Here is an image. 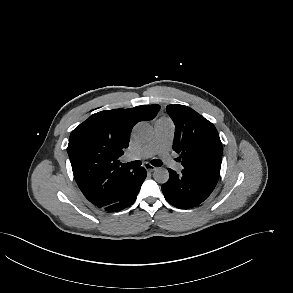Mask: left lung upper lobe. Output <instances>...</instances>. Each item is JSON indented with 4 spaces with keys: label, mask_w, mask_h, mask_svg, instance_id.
I'll use <instances>...</instances> for the list:
<instances>
[{
    "label": "left lung upper lobe",
    "mask_w": 293,
    "mask_h": 293,
    "mask_svg": "<svg viewBox=\"0 0 293 293\" xmlns=\"http://www.w3.org/2000/svg\"><path fill=\"white\" fill-rule=\"evenodd\" d=\"M166 110L175 124L173 150L184 169L218 179L223 149L215 126L184 105H168Z\"/></svg>",
    "instance_id": "obj_1"
}]
</instances>
